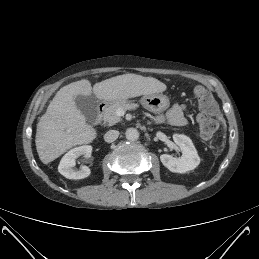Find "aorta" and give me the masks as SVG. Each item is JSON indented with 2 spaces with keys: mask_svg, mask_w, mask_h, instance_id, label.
<instances>
[{
  "mask_svg": "<svg viewBox=\"0 0 259 259\" xmlns=\"http://www.w3.org/2000/svg\"><path fill=\"white\" fill-rule=\"evenodd\" d=\"M125 135L129 141H136L139 138V132L135 128H128L125 132Z\"/></svg>",
  "mask_w": 259,
  "mask_h": 259,
  "instance_id": "obj_1",
  "label": "aorta"
}]
</instances>
